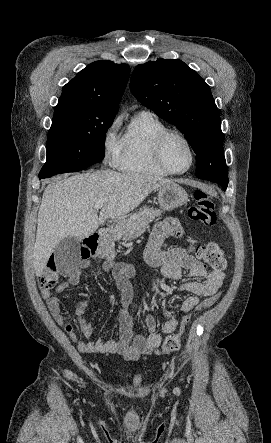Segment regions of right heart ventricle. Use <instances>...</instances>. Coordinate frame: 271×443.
<instances>
[{
	"label": "right heart ventricle",
	"instance_id": "e07e8e85",
	"mask_svg": "<svg viewBox=\"0 0 271 443\" xmlns=\"http://www.w3.org/2000/svg\"><path fill=\"white\" fill-rule=\"evenodd\" d=\"M168 129L165 123L148 111L135 114L121 140L117 167L126 172L167 176L155 160L153 144L156 137Z\"/></svg>",
	"mask_w": 271,
	"mask_h": 443
}]
</instances>
